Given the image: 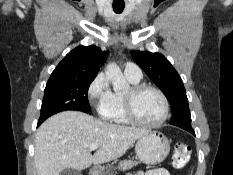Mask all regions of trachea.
I'll return each instance as SVG.
<instances>
[{
    "instance_id": "1",
    "label": "trachea",
    "mask_w": 233,
    "mask_h": 175,
    "mask_svg": "<svg viewBox=\"0 0 233 175\" xmlns=\"http://www.w3.org/2000/svg\"><path fill=\"white\" fill-rule=\"evenodd\" d=\"M124 4H113V10L115 13H121L124 10Z\"/></svg>"
}]
</instances>
